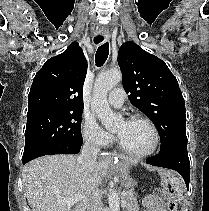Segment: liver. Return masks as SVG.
<instances>
[{
    "label": "liver",
    "mask_w": 209,
    "mask_h": 211,
    "mask_svg": "<svg viewBox=\"0 0 209 211\" xmlns=\"http://www.w3.org/2000/svg\"><path fill=\"white\" fill-rule=\"evenodd\" d=\"M75 155H48L30 161L23 168L22 178L26 197L32 211H85L95 188L101 184L110 166L111 157L95 162L91 172L86 171ZM121 163L137 164V161L122 156ZM149 170L154 168L147 166ZM76 194L85 197L74 207L61 203Z\"/></svg>",
    "instance_id": "1"
}]
</instances>
